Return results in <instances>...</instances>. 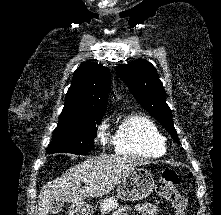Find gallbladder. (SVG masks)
Segmentation results:
<instances>
[{
	"label": "gallbladder",
	"mask_w": 221,
	"mask_h": 215,
	"mask_svg": "<svg viewBox=\"0 0 221 215\" xmlns=\"http://www.w3.org/2000/svg\"><path fill=\"white\" fill-rule=\"evenodd\" d=\"M63 206H64L63 202H54L51 205L50 213L51 214H57V213L61 212V210L63 209Z\"/></svg>",
	"instance_id": "gallbladder-1"
}]
</instances>
